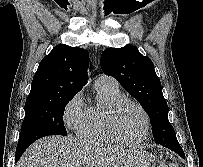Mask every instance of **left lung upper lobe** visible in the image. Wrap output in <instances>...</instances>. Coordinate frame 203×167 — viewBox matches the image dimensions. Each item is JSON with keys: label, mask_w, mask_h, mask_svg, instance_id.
I'll return each mask as SVG.
<instances>
[{"label": "left lung upper lobe", "mask_w": 203, "mask_h": 167, "mask_svg": "<svg viewBox=\"0 0 203 167\" xmlns=\"http://www.w3.org/2000/svg\"><path fill=\"white\" fill-rule=\"evenodd\" d=\"M101 68L106 75L116 78L141 104L151 120L156 143L166 137L176 138L168 120V106L163 97L161 83L149 57L143 56L131 45L107 48L101 55Z\"/></svg>", "instance_id": "obj_1"}]
</instances>
